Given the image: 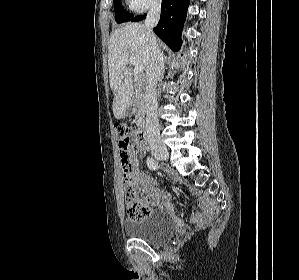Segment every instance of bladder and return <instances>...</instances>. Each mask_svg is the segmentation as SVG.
Instances as JSON below:
<instances>
[{
	"mask_svg": "<svg viewBox=\"0 0 299 280\" xmlns=\"http://www.w3.org/2000/svg\"><path fill=\"white\" fill-rule=\"evenodd\" d=\"M175 221L172 215L164 210L154 211L141 220L125 221L124 230L127 236L160 244L174 233Z\"/></svg>",
	"mask_w": 299,
	"mask_h": 280,
	"instance_id": "1",
	"label": "bladder"
}]
</instances>
